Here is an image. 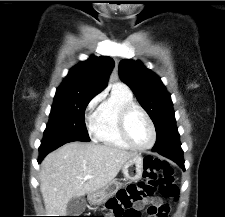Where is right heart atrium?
<instances>
[{
  "mask_svg": "<svg viewBox=\"0 0 225 217\" xmlns=\"http://www.w3.org/2000/svg\"><path fill=\"white\" fill-rule=\"evenodd\" d=\"M102 98V94L95 96L87 105L86 113H87V127L91 133L95 134L96 128V114H94V110L98 103Z\"/></svg>",
  "mask_w": 225,
  "mask_h": 217,
  "instance_id": "d8ad5b80",
  "label": "right heart atrium"
}]
</instances>
